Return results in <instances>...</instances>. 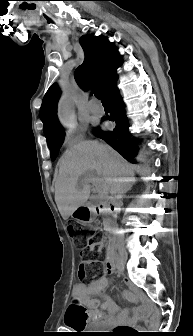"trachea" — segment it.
I'll use <instances>...</instances> for the list:
<instances>
[{
	"label": "trachea",
	"instance_id": "trachea-1",
	"mask_svg": "<svg viewBox=\"0 0 193 336\" xmlns=\"http://www.w3.org/2000/svg\"><path fill=\"white\" fill-rule=\"evenodd\" d=\"M95 97L99 100H101L102 103H106V100L104 99L102 93L100 91L95 92Z\"/></svg>",
	"mask_w": 193,
	"mask_h": 336
}]
</instances>
